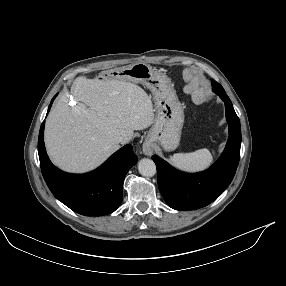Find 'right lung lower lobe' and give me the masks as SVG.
<instances>
[{
  "label": "right lung lower lobe",
  "mask_w": 286,
  "mask_h": 286,
  "mask_svg": "<svg viewBox=\"0 0 286 286\" xmlns=\"http://www.w3.org/2000/svg\"><path fill=\"white\" fill-rule=\"evenodd\" d=\"M44 123L39 132L38 154L43 177L53 195L81 215L100 216L115 211L122 202L124 178L138 160L132 146H124L91 173L68 174L56 168L47 156L43 140Z\"/></svg>",
  "instance_id": "right-lung-lower-lobe-1"
}]
</instances>
